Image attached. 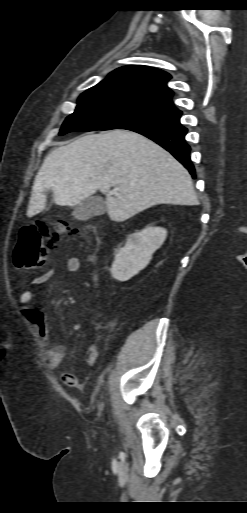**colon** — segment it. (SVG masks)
Masks as SVG:
<instances>
[{"label":"colon","instance_id":"colon-1","mask_svg":"<svg viewBox=\"0 0 247 513\" xmlns=\"http://www.w3.org/2000/svg\"><path fill=\"white\" fill-rule=\"evenodd\" d=\"M77 230L69 228L62 221L50 224L44 222L24 225L16 240L12 254L13 265L16 269H31L42 266L47 255L59 239L64 236H73Z\"/></svg>","mask_w":247,"mask_h":513}]
</instances>
